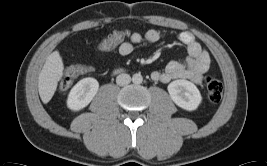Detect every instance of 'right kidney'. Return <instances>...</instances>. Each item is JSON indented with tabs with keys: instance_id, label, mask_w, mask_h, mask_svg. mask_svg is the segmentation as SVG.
Instances as JSON below:
<instances>
[{
	"instance_id": "right-kidney-1",
	"label": "right kidney",
	"mask_w": 267,
	"mask_h": 166,
	"mask_svg": "<svg viewBox=\"0 0 267 166\" xmlns=\"http://www.w3.org/2000/svg\"><path fill=\"white\" fill-rule=\"evenodd\" d=\"M99 83L96 79L87 77L77 82L71 89L67 105L73 111H78L86 107L96 95Z\"/></svg>"
}]
</instances>
